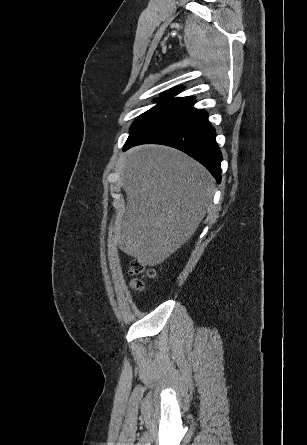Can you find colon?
I'll return each mask as SVG.
<instances>
[{
  "label": "colon",
  "mask_w": 307,
  "mask_h": 445,
  "mask_svg": "<svg viewBox=\"0 0 307 445\" xmlns=\"http://www.w3.org/2000/svg\"><path fill=\"white\" fill-rule=\"evenodd\" d=\"M129 273L135 276H144V277H153L154 271L153 269L146 266V264L139 260L135 259L132 260L129 266ZM132 287L136 290H143L144 289V281L141 278H135L132 281Z\"/></svg>",
  "instance_id": "5ec220e1"
}]
</instances>
